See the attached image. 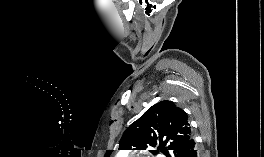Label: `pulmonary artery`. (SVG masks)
<instances>
[{
	"instance_id": "obj_1",
	"label": "pulmonary artery",
	"mask_w": 264,
	"mask_h": 157,
	"mask_svg": "<svg viewBox=\"0 0 264 157\" xmlns=\"http://www.w3.org/2000/svg\"><path fill=\"white\" fill-rule=\"evenodd\" d=\"M122 155H124V156H125V155H126V153H125V152H123V153H122Z\"/></svg>"
}]
</instances>
